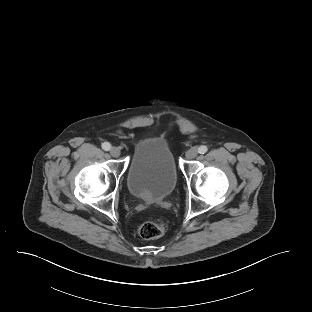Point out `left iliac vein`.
<instances>
[{"label":"left iliac vein","mask_w":312,"mask_h":312,"mask_svg":"<svg viewBox=\"0 0 312 312\" xmlns=\"http://www.w3.org/2000/svg\"><path fill=\"white\" fill-rule=\"evenodd\" d=\"M197 155H198V149L196 147H192L186 152L187 159H194Z\"/></svg>","instance_id":"4c4485c4"}]
</instances>
